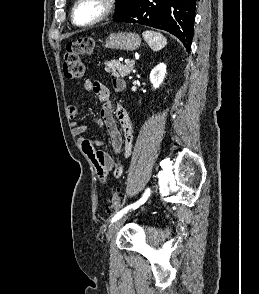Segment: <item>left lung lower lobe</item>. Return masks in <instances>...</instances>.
<instances>
[{"instance_id": "0a47b994", "label": "left lung lower lobe", "mask_w": 259, "mask_h": 294, "mask_svg": "<svg viewBox=\"0 0 259 294\" xmlns=\"http://www.w3.org/2000/svg\"><path fill=\"white\" fill-rule=\"evenodd\" d=\"M196 0H136L114 22L139 23L162 29L179 38L190 51L194 32Z\"/></svg>"}]
</instances>
